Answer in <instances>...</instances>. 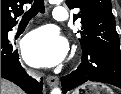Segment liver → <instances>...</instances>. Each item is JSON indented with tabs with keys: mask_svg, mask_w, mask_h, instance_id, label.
<instances>
[{
	"mask_svg": "<svg viewBox=\"0 0 121 94\" xmlns=\"http://www.w3.org/2000/svg\"><path fill=\"white\" fill-rule=\"evenodd\" d=\"M1 94H24L15 84L1 78Z\"/></svg>",
	"mask_w": 121,
	"mask_h": 94,
	"instance_id": "1",
	"label": "liver"
}]
</instances>
